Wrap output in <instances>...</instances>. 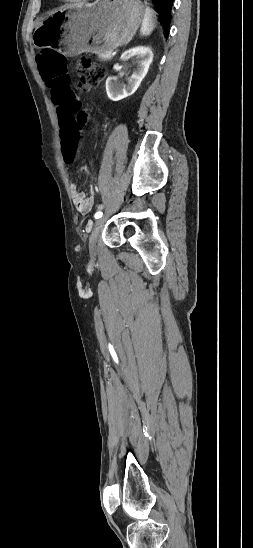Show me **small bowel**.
Here are the masks:
<instances>
[{
	"label": "small bowel",
	"instance_id": "1",
	"mask_svg": "<svg viewBox=\"0 0 253 548\" xmlns=\"http://www.w3.org/2000/svg\"><path fill=\"white\" fill-rule=\"evenodd\" d=\"M48 89H49V87H48ZM67 97H69V96H67ZM80 146H81L80 142L77 138L76 142H75V154H76L77 151L80 150ZM70 190H71L72 199H73V202H74V205H75L76 209L82 214L88 213L91 210V208L94 204V197L92 195L87 196L85 193L81 192L78 189L77 185L74 184V183H72L70 185ZM93 191H94V186L92 187V192Z\"/></svg>",
	"mask_w": 253,
	"mask_h": 548
}]
</instances>
